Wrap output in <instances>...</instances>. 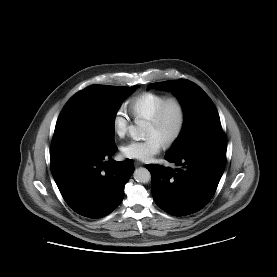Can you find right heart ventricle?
Listing matches in <instances>:
<instances>
[{"label": "right heart ventricle", "instance_id": "right-heart-ventricle-1", "mask_svg": "<svg viewBox=\"0 0 277 277\" xmlns=\"http://www.w3.org/2000/svg\"><path fill=\"white\" fill-rule=\"evenodd\" d=\"M168 98L158 92H143L129 100L128 107L135 119H150L161 103Z\"/></svg>", "mask_w": 277, "mask_h": 277}]
</instances>
